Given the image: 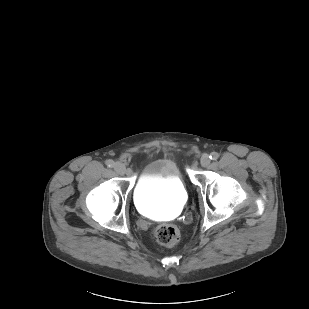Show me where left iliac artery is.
I'll return each instance as SVG.
<instances>
[{
    "instance_id": "left-iliac-artery-1",
    "label": "left iliac artery",
    "mask_w": 309,
    "mask_h": 309,
    "mask_svg": "<svg viewBox=\"0 0 309 309\" xmlns=\"http://www.w3.org/2000/svg\"><path fill=\"white\" fill-rule=\"evenodd\" d=\"M209 157L211 160H217L219 157V154L217 152H212Z\"/></svg>"
}]
</instances>
